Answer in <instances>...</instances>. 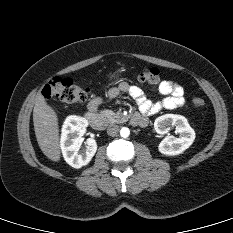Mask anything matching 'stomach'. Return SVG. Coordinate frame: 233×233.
<instances>
[{
    "label": "stomach",
    "instance_id": "stomach-1",
    "mask_svg": "<svg viewBox=\"0 0 233 233\" xmlns=\"http://www.w3.org/2000/svg\"><path fill=\"white\" fill-rule=\"evenodd\" d=\"M120 76V73L118 71H116L114 74H113V77L114 78H118Z\"/></svg>",
    "mask_w": 233,
    "mask_h": 233
}]
</instances>
